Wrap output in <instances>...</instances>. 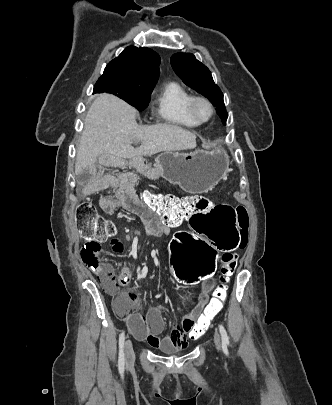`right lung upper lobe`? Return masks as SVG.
<instances>
[{"label":"right lung upper lobe","instance_id":"right-lung-upper-lobe-1","mask_svg":"<svg viewBox=\"0 0 332 405\" xmlns=\"http://www.w3.org/2000/svg\"><path fill=\"white\" fill-rule=\"evenodd\" d=\"M159 55L149 48L128 46L105 67L103 74H118L136 82H157Z\"/></svg>","mask_w":332,"mask_h":405}]
</instances>
